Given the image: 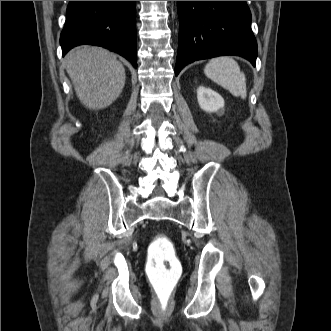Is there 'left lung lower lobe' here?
I'll use <instances>...</instances> for the list:
<instances>
[{
	"instance_id": "left-lung-lower-lobe-1",
	"label": "left lung lower lobe",
	"mask_w": 331,
	"mask_h": 331,
	"mask_svg": "<svg viewBox=\"0 0 331 331\" xmlns=\"http://www.w3.org/2000/svg\"><path fill=\"white\" fill-rule=\"evenodd\" d=\"M179 45L175 75L189 63L237 55L256 65L257 42L246 1H177Z\"/></svg>"
}]
</instances>
